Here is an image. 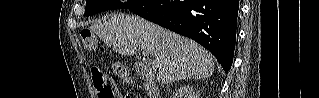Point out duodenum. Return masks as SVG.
Segmentation results:
<instances>
[{"instance_id": "410a0bca", "label": "duodenum", "mask_w": 319, "mask_h": 98, "mask_svg": "<svg viewBox=\"0 0 319 98\" xmlns=\"http://www.w3.org/2000/svg\"><path fill=\"white\" fill-rule=\"evenodd\" d=\"M145 89L149 98H159V89L154 81H145Z\"/></svg>"}]
</instances>
